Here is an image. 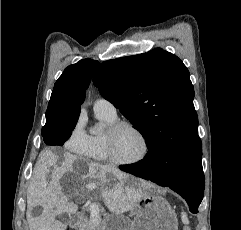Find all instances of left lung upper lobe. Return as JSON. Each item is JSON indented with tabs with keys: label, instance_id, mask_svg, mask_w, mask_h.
Wrapping results in <instances>:
<instances>
[{
	"label": "left lung upper lobe",
	"instance_id": "1",
	"mask_svg": "<svg viewBox=\"0 0 241 230\" xmlns=\"http://www.w3.org/2000/svg\"><path fill=\"white\" fill-rule=\"evenodd\" d=\"M93 82L102 96L140 131L148 149L160 145L170 158L175 180L201 158L194 88L189 71L160 48L100 64Z\"/></svg>",
	"mask_w": 241,
	"mask_h": 230
}]
</instances>
